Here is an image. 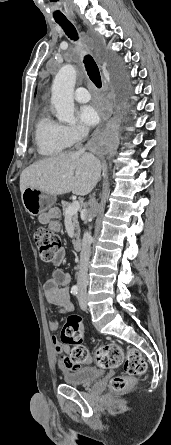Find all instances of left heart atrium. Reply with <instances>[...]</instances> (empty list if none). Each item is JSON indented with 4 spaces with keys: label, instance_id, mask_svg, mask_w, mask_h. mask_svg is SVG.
<instances>
[{
    "label": "left heart atrium",
    "instance_id": "1",
    "mask_svg": "<svg viewBox=\"0 0 171 445\" xmlns=\"http://www.w3.org/2000/svg\"><path fill=\"white\" fill-rule=\"evenodd\" d=\"M78 118L84 127L94 126L99 121L98 112L91 105L82 106L78 112Z\"/></svg>",
    "mask_w": 171,
    "mask_h": 445
}]
</instances>
